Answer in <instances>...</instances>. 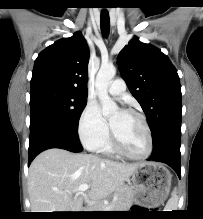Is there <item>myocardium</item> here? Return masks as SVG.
I'll return each instance as SVG.
<instances>
[{"mask_svg": "<svg viewBox=\"0 0 203 219\" xmlns=\"http://www.w3.org/2000/svg\"><path fill=\"white\" fill-rule=\"evenodd\" d=\"M126 112L130 113L132 115H135L136 117H138L141 120V122H142V124H143V126L145 128L146 135H147V148H146V151L142 155H135V154L129 152L125 148V146L121 143V141L117 137L114 129L111 126V138H112L113 146L115 147V149L119 153H121L122 155H124L125 157H127L129 159L138 160V161L146 160V159H148L151 156V154L153 152V137H152L151 128H150V126H149V124L147 122L146 117L142 113H140V112H138L136 110H132V109H130V110L126 111Z\"/></svg>", "mask_w": 203, "mask_h": 219, "instance_id": "f54148a6", "label": "myocardium"}]
</instances>
